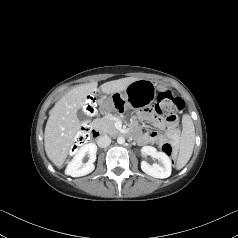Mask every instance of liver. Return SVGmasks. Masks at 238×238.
Here are the masks:
<instances>
[{
  "instance_id": "1",
  "label": "liver",
  "mask_w": 238,
  "mask_h": 238,
  "mask_svg": "<svg viewBox=\"0 0 238 238\" xmlns=\"http://www.w3.org/2000/svg\"><path fill=\"white\" fill-rule=\"evenodd\" d=\"M138 78L127 77L109 81L100 86L103 93L124 91ZM97 82L79 85L67 92L50 110L44 133V145L48 158L54 165H63L74 139L80 130L78 110L86 104L87 96L97 89Z\"/></svg>"
}]
</instances>
